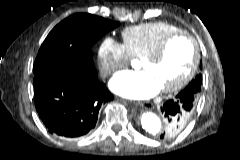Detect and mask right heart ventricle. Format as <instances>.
Masks as SVG:
<instances>
[{"instance_id":"e07e8e85","label":"right heart ventricle","mask_w":240,"mask_h":160,"mask_svg":"<svg viewBox=\"0 0 240 160\" xmlns=\"http://www.w3.org/2000/svg\"><path fill=\"white\" fill-rule=\"evenodd\" d=\"M180 28L163 21L150 22L128 27L123 30L124 46L131 57L141 59L151 53L167 35Z\"/></svg>"}]
</instances>
